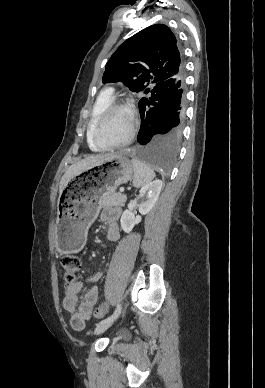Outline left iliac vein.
I'll return each mask as SVG.
<instances>
[{
    "label": "left iliac vein",
    "mask_w": 265,
    "mask_h": 388,
    "mask_svg": "<svg viewBox=\"0 0 265 388\" xmlns=\"http://www.w3.org/2000/svg\"><path fill=\"white\" fill-rule=\"evenodd\" d=\"M115 320H116V318L112 321L98 324L94 330V334L99 335V334L103 333L114 323Z\"/></svg>",
    "instance_id": "left-iliac-vein-1"
}]
</instances>
